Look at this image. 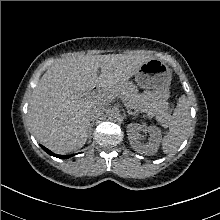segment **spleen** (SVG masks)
<instances>
[{"label":"spleen","mask_w":220,"mask_h":220,"mask_svg":"<svg viewBox=\"0 0 220 220\" xmlns=\"http://www.w3.org/2000/svg\"><path fill=\"white\" fill-rule=\"evenodd\" d=\"M169 132L162 139L164 153H174L188 135L190 126V107L187 97L181 95L172 116L169 118Z\"/></svg>","instance_id":"3e777b00"}]
</instances>
